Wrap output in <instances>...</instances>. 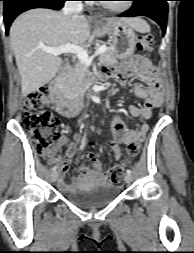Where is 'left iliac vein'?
<instances>
[{
    "label": "left iliac vein",
    "instance_id": "4c4485c4",
    "mask_svg": "<svg viewBox=\"0 0 194 253\" xmlns=\"http://www.w3.org/2000/svg\"><path fill=\"white\" fill-rule=\"evenodd\" d=\"M126 183L130 184L133 181V176L131 174H126L124 177Z\"/></svg>",
    "mask_w": 194,
    "mask_h": 253
}]
</instances>
